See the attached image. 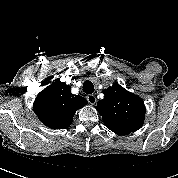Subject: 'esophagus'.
<instances>
[{
  "label": "esophagus",
  "instance_id": "1",
  "mask_svg": "<svg viewBox=\"0 0 178 178\" xmlns=\"http://www.w3.org/2000/svg\"><path fill=\"white\" fill-rule=\"evenodd\" d=\"M87 100L91 105H94L97 101L95 95H93V94L88 95Z\"/></svg>",
  "mask_w": 178,
  "mask_h": 178
}]
</instances>
